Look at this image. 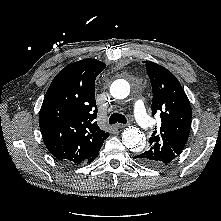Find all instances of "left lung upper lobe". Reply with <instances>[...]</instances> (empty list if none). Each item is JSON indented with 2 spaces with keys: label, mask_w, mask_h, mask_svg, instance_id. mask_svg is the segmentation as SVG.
<instances>
[{
  "label": "left lung upper lobe",
  "mask_w": 221,
  "mask_h": 221,
  "mask_svg": "<svg viewBox=\"0 0 221 221\" xmlns=\"http://www.w3.org/2000/svg\"><path fill=\"white\" fill-rule=\"evenodd\" d=\"M144 63L153 91L152 114L160 113L161 126L155 128L148 149L139 156L146 165L160 167L182 152L190 133L191 106L179 81L168 69L154 62Z\"/></svg>",
  "instance_id": "obj_1"
}]
</instances>
